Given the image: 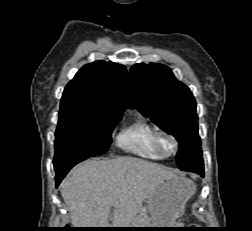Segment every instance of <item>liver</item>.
Listing matches in <instances>:
<instances>
[{
	"mask_svg": "<svg viewBox=\"0 0 252 231\" xmlns=\"http://www.w3.org/2000/svg\"><path fill=\"white\" fill-rule=\"evenodd\" d=\"M174 176L165 166L135 157L92 159L75 166L60 191L74 227L129 228L149 195Z\"/></svg>",
	"mask_w": 252,
	"mask_h": 231,
	"instance_id": "1",
	"label": "liver"
}]
</instances>
